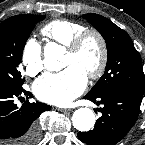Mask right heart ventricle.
Instances as JSON below:
<instances>
[{
    "instance_id": "obj_1",
    "label": "right heart ventricle",
    "mask_w": 145,
    "mask_h": 145,
    "mask_svg": "<svg viewBox=\"0 0 145 145\" xmlns=\"http://www.w3.org/2000/svg\"><path fill=\"white\" fill-rule=\"evenodd\" d=\"M86 29V26L82 23L67 19H57L44 25L41 33L49 40L67 46L74 37Z\"/></svg>"
}]
</instances>
